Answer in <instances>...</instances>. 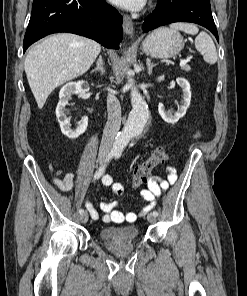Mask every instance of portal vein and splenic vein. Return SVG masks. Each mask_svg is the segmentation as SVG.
I'll return each instance as SVG.
<instances>
[{
  "label": "portal vein and splenic vein",
  "mask_w": 247,
  "mask_h": 296,
  "mask_svg": "<svg viewBox=\"0 0 247 296\" xmlns=\"http://www.w3.org/2000/svg\"><path fill=\"white\" fill-rule=\"evenodd\" d=\"M186 63H187V60H186V59H181V60H180V66H181V67L185 66Z\"/></svg>",
  "instance_id": "portal-vein-and-splenic-vein-1"
}]
</instances>
